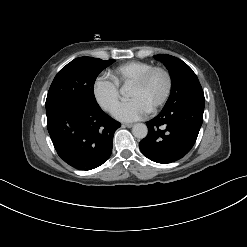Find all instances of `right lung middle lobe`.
Wrapping results in <instances>:
<instances>
[{
    "mask_svg": "<svg viewBox=\"0 0 247 247\" xmlns=\"http://www.w3.org/2000/svg\"><path fill=\"white\" fill-rule=\"evenodd\" d=\"M115 60L79 57L64 66L55 76L46 99V110L61 103H78L99 108L94 83L99 73Z\"/></svg>",
    "mask_w": 247,
    "mask_h": 247,
    "instance_id": "1",
    "label": "right lung middle lobe"
}]
</instances>
